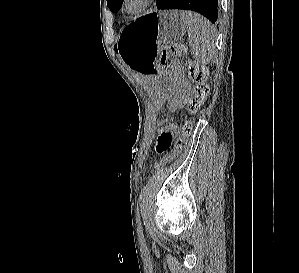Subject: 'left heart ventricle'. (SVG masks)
I'll use <instances>...</instances> for the list:
<instances>
[{"instance_id":"obj_1","label":"left heart ventricle","mask_w":299,"mask_h":273,"mask_svg":"<svg viewBox=\"0 0 299 273\" xmlns=\"http://www.w3.org/2000/svg\"><path fill=\"white\" fill-rule=\"evenodd\" d=\"M136 5V1L134 0V1H132L131 3H130V6H135Z\"/></svg>"}]
</instances>
